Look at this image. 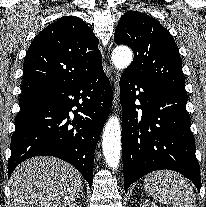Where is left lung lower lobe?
Returning a JSON list of instances; mask_svg holds the SVG:
<instances>
[{"instance_id": "1", "label": "left lung lower lobe", "mask_w": 206, "mask_h": 207, "mask_svg": "<svg viewBox=\"0 0 206 207\" xmlns=\"http://www.w3.org/2000/svg\"><path fill=\"white\" fill-rule=\"evenodd\" d=\"M137 100L140 105L135 104ZM120 102L125 191L142 176L161 169L183 174L200 191V169L186 110V92L123 73ZM136 109H141L142 114Z\"/></svg>"}]
</instances>
